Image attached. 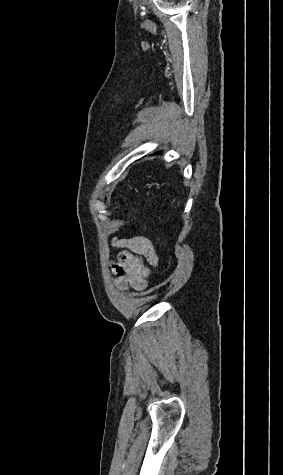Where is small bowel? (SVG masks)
Here are the masks:
<instances>
[{"label":"small bowel","instance_id":"small-bowel-1","mask_svg":"<svg viewBox=\"0 0 283 475\" xmlns=\"http://www.w3.org/2000/svg\"><path fill=\"white\" fill-rule=\"evenodd\" d=\"M107 247H126L117 259L111 262V270L117 287L122 291H143L147 288V278L151 267H157L159 257L152 242L145 237H135L126 240H107Z\"/></svg>","mask_w":283,"mask_h":475}]
</instances>
